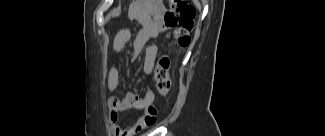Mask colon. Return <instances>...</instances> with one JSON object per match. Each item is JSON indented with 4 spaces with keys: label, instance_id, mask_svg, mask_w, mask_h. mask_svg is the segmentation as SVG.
<instances>
[{
    "label": "colon",
    "instance_id": "5ec220e1",
    "mask_svg": "<svg viewBox=\"0 0 325 136\" xmlns=\"http://www.w3.org/2000/svg\"><path fill=\"white\" fill-rule=\"evenodd\" d=\"M169 8L164 16V25L168 29V38L173 44L186 47L191 42L190 33L194 28L195 9L187 0H169ZM156 86L163 97L172 91V79L169 74V59L162 55L154 69Z\"/></svg>",
    "mask_w": 325,
    "mask_h": 136
}]
</instances>
